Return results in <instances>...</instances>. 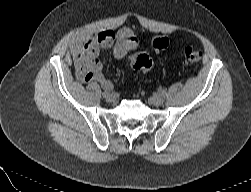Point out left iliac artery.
Here are the masks:
<instances>
[{
    "label": "left iliac artery",
    "mask_w": 251,
    "mask_h": 192,
    "mask_svg": "<svg viewBox=\"0 0 251 192\" xmlns=\"http://www.w3.org/2000/svg\"><path fill=\"white\" fill-rule=\"evenodd\" d=\"M160 95L164 97L166 95V92L165 91H160Z\"/></svg>",
    "instance_id": "1"
}]
</instances>
